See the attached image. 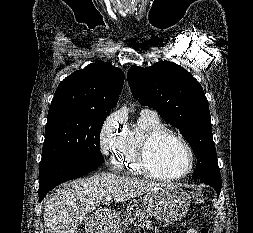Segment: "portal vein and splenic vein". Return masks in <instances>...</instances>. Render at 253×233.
Segmentation results:
<instances>
[{
	"instance_id": "18ae733b",
	"label": "portal vein and splenic vein",
	"mask_w": 253,
	"mask_h": 233,
	"mask_svg": "<svg viewBox=\"0 0 253 233\" xmlns=\"http://www.w3.org/2000/svg\"><path fill=\"white\" fill-rule=\"evenodd\" d=\"M111 199H112L111 195H108V196L105 197V202L107 203V202H109Z\"/></svg>"
}]
</instances>
